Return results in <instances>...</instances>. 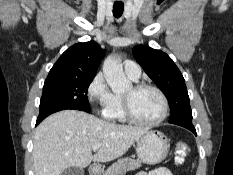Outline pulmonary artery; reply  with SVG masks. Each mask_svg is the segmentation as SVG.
I'll list each match as a JSON object with an SVG mask.
<instances>
[{"label":"pulmonary artery","mask_w":233,"mask_h":175,"mask_svg":"<svg viewBox=\"0 0 233 175\" xmlns=\"http://www.w3.org/2000/svg\"><path fill=\"white\" fill-rule=\"evenodd\" d=\"M125 74L132 80H138L141 75V69L135 61L127 60L124 62Z\"/></svg>","instance_id":"1"}]
</instances>
